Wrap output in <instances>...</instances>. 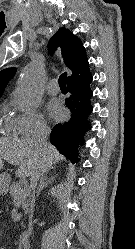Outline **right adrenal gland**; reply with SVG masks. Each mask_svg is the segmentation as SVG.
Listing matches in <instances>:
<instances>
[{
    "instance_id": "obj_1",
    "label": "right adrenal gland",
    "mask_w": 135,
    "mask_h": 249,
    "mask_svg": "<svg viewBox=\"0 0 135 249\" xmlns=\"http://www.w3.org/2000/svg\"><path fill=\"white\" fill-rule=\"evenodd\" d=\"M55 178V176H52L51 178H47V172L42 174L40 182H39V186L37 189V195L40 194L41 190L47 186L48 183L51 182V180H53Z\"/></svg>"
}]
</instances>
